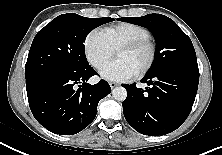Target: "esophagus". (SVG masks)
<instances>
[{
  "label": "esophagus",
  "instance_id": "esophagus-1",
  "mask_svg": "<svg viewBox=\"0 0 222 155\" xmlns=\"http://www.w3.org/2000/svg\"><path fill=\"white\" fill-rule=\"evenodd\" d=\"M109 85H110L111 89H113L118 86V83L110 82Z\"/></svg>",
  "mask_w": 222,
  "mask_h": 155
}]
</instances>
